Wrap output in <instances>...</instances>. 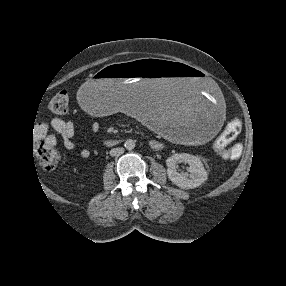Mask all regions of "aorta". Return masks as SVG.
<instances>
[{
	"label": "aorta",
	"instance_id": "762f6f07",
	"mask_svg": "<svg viewBox=\"0 0 286 286\" xmlns=\"http://www.w3.org/2000/svg\"><path fill=\"white\" fill-rule=\"evenodd\" d=\"M124 146L127 150H132L135 148V142L132 139H128L125 141Z\"/></svg>",
	"mask_w": 286,
	"mask_h": 286
}]
</instances>
